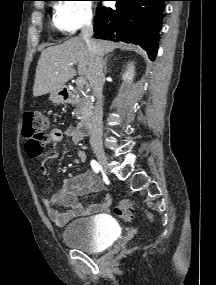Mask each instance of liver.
Segmentation results:
<instances>
[{
    "instance_id": "liver-1",
    "label": "liver",
    "mask_w": 216,
    "mask_h": 285,
    "mask_svg": "<svg viewBox=\"0 0 216 285\" xmlns=\"http://www.w3.org/2000/svg\"><path fill=\"white\" fill-rule=\"evenodd\" d=\"M93 42L101 56L109 54L117 47L112 41L93 40ZM89 60L87 44L81 37L69 39L60 45L43 50L36 68L34 97L63 88L64 84L76 75L74 64H78V74L88 79Z\"/></svg>"
}]
</instances>
